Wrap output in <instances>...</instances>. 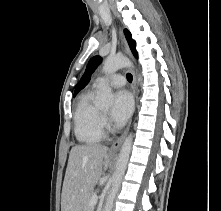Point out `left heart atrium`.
<instances>
[{
	"label": "left heart atrium",
	"mask_w": 221,
	"mask_h": 211,
	"mask_svg": "<svg viewBox=\"0 0 221 211\" xmlns=\"http://www.w3.org/2000/svg\"><path fill=\"white\" fill-rule=\"evenodd\" d=\"M133 110V100L125 90H119L114 95V103L111 109V119L117 126L125 124Z\"/></svg>",
	"instance_id": "1"
}]
</instances>
